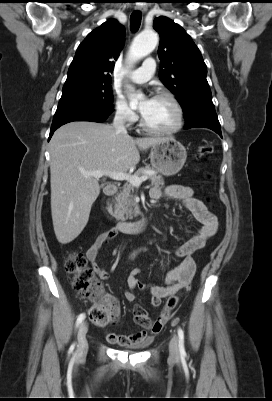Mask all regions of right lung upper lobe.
Returning <instances> with one entry per match:
<instances>
[{
    "label": "right lung upper lobe",
    "instance_id": "cb5924a9",
    "mask_svg": "<svg viewBox=\"0 0 272 401\" xmlns=\"http://www.w3.org/2000/svg\"><path fill=\"white\" fill-rule=\"evenodd\" d=\"M125 29L109 19L93 30L77 48L63 90L111 81L114 60L124 46Z\"/></svg>",
    "mask_w": 272,
    "mask_h": 401
}]
</instances>
